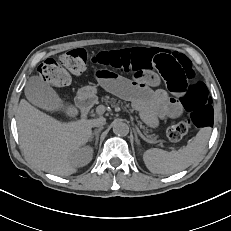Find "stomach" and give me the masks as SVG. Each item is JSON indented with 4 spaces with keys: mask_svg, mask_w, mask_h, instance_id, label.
Wrapping results in <instances>:
<instances>
[{
    "mask_svg": "<svg viewBox=\"0 0 231 231\" xmlns=\"http://www.w3.org/2000/svg\"><path fill=\"white\" fill-rule=\"evenodd\" d=\"M96 93V88L92 86H86L79 90L78 95L81 99H87L95 97Z\"/></svg>",
    "mask_w": 231,
    "mask_h": 231,
    "instance_id": "1",
    "label": "stomach"
}]
</instances>
